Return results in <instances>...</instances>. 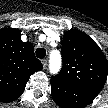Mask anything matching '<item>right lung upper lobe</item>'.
Masks as SVG:
<instances>
[{
	"label": "right lung upper lobe",
	"mask_w": 108,
	"mask_h": 108,
	"mask_svg": "<svg viewBox=\"0 0 108 108\" xmlns=\"http://www.w3.org/2000/svg\"><path fill=\"white\" fill-rule=\"evenodd\" d=\"M42 68L33 45L21 41L19 29L0 30V102L17 99L30 76Z\"/></svg>",
	"instance_id": "right-lung-upper-lobe-1"
}]
</instances>
